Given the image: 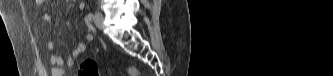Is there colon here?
<instances>
[{
    "instance_id": "colon-1",
    "label": "colon",
    "mask_w": 333,
    "mask_h": 76,
    "mask_svg": "<svg viewBox=\"0 0 333 76\" xmlns=\"http://www.w3.org/2000/svg\"><path fill=\"white\" fill-rule=\"evenodd\" d=\"M79 76H100L96 62L91 58L84 59L78 69ZM130 76H139V71L135 67L129 68Z\"/></svg>"
}]
</instances>
